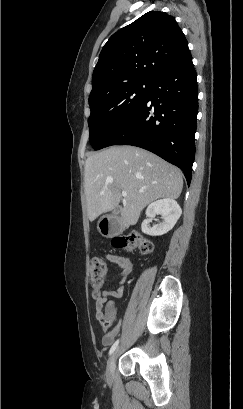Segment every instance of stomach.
Wrapping results in <instances>:
<instances>
[{
    "instance_id": "obj_1",
    "label": "stomach",
    "mask_w": 243,
    "mask_h": 409,
    "mask_svg": "<svg viewBox=\"0 0 243 409\" xmlns=\"http://www.w3.org/2000/svg\"><path fill=\"white\" fill-rule=\"evenodd\" d=\"M97 228H98V231H99L103 236L108 237V236L111 235V230H110V228H109L108 226H105V225L103 224V219H101V220L98 222Z\"/></svg>"
}]
</instances>
